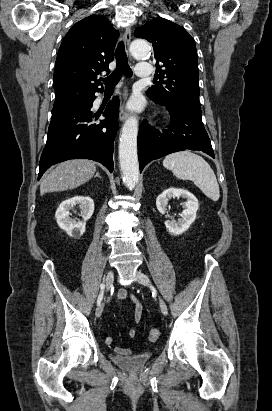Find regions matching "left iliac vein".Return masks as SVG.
I'll return each instance as SVG.
<instances>
[{
  "label": "left iliac vein",
  "instance_id": "obj_1",
  "mask_svg": "<svg viewBox=\"0 0 272 411\" xmlns=\"http://www.w3.org/2000/svg\"><path fill=\"white\" fill-rule=\"evenodd\" d=\"M135 277L137 279V281L142 284V285H146V286H152L150 279L148 278V276H146L144 273H142L141 271H136L135 273ZM159 304H160V309L161 312L163 313V315H167L168 314V308L166 303L164 302V300L162 298L159 297Z\"/></svg>",
  "mask_w": 272,
  "mask_h": 411
}]
</instances>
